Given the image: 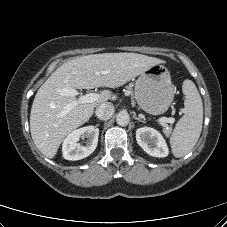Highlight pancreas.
I'll use <instances>...</instances> for the list:
<instances>
[{
	"mask_svg": "<svg viewBox=\"0 0 227 227\" xmlns=\"http://www.w3.org/2000/svg\"><path fill=\"white\" fill-rule=\"evenodd\" d=\"M128 90H131L132 88L131 87H127ZM164 132L166 135H169L170 132H171V128H167V129H164Z\"/></svg>",
	"mask_w": 227,
	"mask_h": 227,
	"instance_id": "obj_1",
	"label": "pancreas"
}]
</instances>
